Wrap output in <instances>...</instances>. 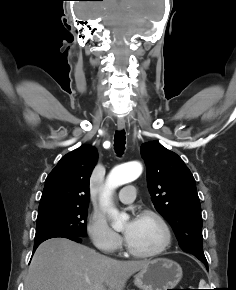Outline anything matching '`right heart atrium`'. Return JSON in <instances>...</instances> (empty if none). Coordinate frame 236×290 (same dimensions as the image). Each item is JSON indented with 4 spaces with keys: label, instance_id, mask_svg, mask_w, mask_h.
I'll list each match as a JSON object with an SVG mask.
<instances>
[{
    "label": "right heart atrium",
    "instance_id": "1",
    "mask_svg": "<svg viewBox=\"0 0 236 290\" xmlns=\"http://www.w3.org/2000/svg\"><path fill=\"white\" fill-rule=\"evenodd\" d=\"M87 233L94 246L106 253L117 251L122 243L121 237L98 215H91L87 224Z\"/></svg>",
    "mask_w": 236,
    "mask_h": 290
}]
</instances>
